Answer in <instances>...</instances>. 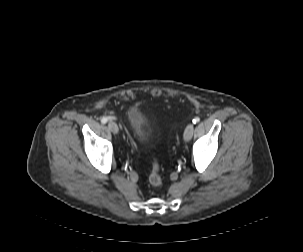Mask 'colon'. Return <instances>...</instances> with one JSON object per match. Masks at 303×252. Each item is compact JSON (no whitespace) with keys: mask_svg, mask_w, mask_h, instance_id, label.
Returning a JSON list of instances; mask_svg holds the SVG:
<instances>
[{"mask_svg":"<svg viewBox=\"0 0 303 252\" xmlns=\"http://www.w3.org/2000/svg\"><path fill=\"white\" fill-rule=\"evenodd\" d=\"M149 181L153 186H161L162 184V179L159 174V164L156 160H153L152 162V169L151 173L149 175Z\"/></svg>","mask_w":303,"mask_h":252,"instance_id":"obj_1","label":"colon"}]
</instances>
